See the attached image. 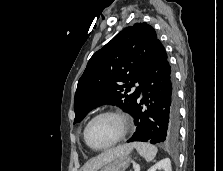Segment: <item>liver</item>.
<instances>
[{
  "mask_svg": "<svg viewBox=\"0 0 223 171\" xmlns=\"http://www.w3.org/2000/svg\"><path fill=\"white\" fill-rule=\"evenodd\" d=\"M133 144H124L104 151L97 157L89 160L83 167V171H98L102 166L112 162L122 155H128L132 149Z\"/></svg>",
  "mask_w": 223,
  "mask_h": 171,
  "instance_id": "liver-1",
  "label": "liver"
}]
</instances>
